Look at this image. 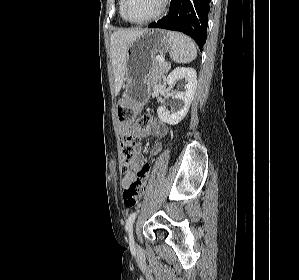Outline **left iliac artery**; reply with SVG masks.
I'll list each match as a JSON object with an SVG mask.
<instances>
[{
    "instance_id": "44dca946",
    "label": "left iliac artery",
    "mask_w": 299,
    "mask_h": 280,
    "mask_svg": "<svg viewBox=\"0 0 299 280\" xmlns=\"http://www.w3.org/2000/svg\"><path fill=\"white\" fill-rule=\"evenodd\" d=\"M136 217V212H133L130 214V216L128 217L127 221H126V225H125V229L127 232H131L133 229V222L135 220Z\"/></svg>"
}]
</instances>
